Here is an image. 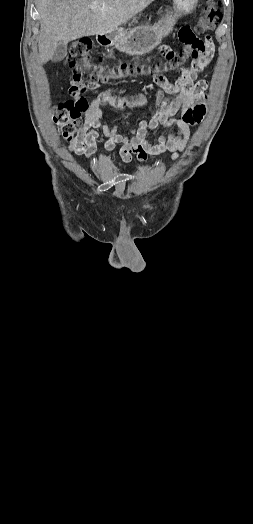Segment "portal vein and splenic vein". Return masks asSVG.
<instances>
[{
  "mask_svg": "<svg viewBox=\"0 0 253 524\" xmlns=\"http://www.w3.org/2000/svg\"><path fill=\"white\" fill-rule=\"evenodd\" d=\"M96 8H97L96 5H94V4L91 5V9H96Z\"/></svg>",
  "mask_w": 253,
  "mask_h": 524,
  "instance_id": "1",
  "label": "portal vein and splenic vein"
}]
</instances>
